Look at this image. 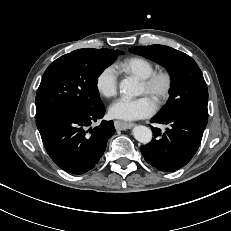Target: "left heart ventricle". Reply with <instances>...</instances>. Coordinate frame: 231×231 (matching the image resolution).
Returning a JSON list of instances; mask_svg holds the SVG:
<instances>
[{"mask_svg":"<svg viewBox=\"0 0 231 231\" xmlns=\"http://www.w3.org/2000/svg\"><path fill=\"white\" fill-rule=\"evenodd\" d=\"M141 91H142V92H145L143 85L141 86Z\"/></svg>","mask_w":231,"mask_h":231,"instance_id":"left-heart-ventricle-1","label":"left heart ventricle"}]
</instances>
